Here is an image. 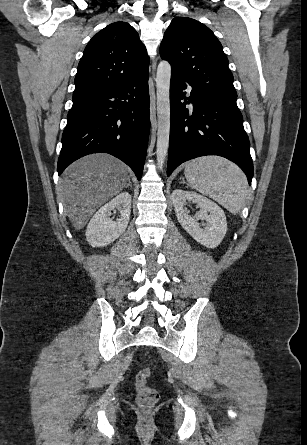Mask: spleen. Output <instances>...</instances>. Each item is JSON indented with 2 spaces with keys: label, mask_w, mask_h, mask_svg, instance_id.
Segmentation results:
<instances>
[{
  "label": "spleen",
  "mask_w": 307,
  "mask_h": 445,
  "mask_svg": "<svg viewBox=\"0 0 307 445\" xmlns=\"http://www.w3.org/2000/svg\"><path fill=\"white\" fill-rule=\"evenodd\" d=\"M184 174L192 188L210 196L229 212H239L246 202L247 178L235 164L222 156H199L186 162Z\"/></svg>",
  "instance_id": "1"
}]
</instances>
